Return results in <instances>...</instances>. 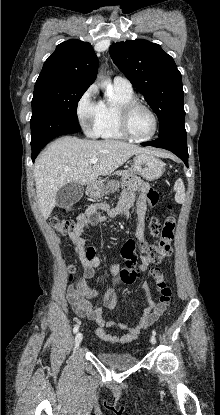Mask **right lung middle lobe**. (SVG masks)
<instances>
[{
    "instance_id": "obj_1",
    "label": "right lung middle lobe",
    "mask_w": 220,
    "mask_h": 415,
    "mask_svg": "<svg viewBox=\"0 0 220 415\" xmlns=\"http://www.w3.org/2000/svg\"><path fill=\"white\" fill-rule=\"evenodd\" d=\"M88 89L67 83L35 84L32 99L31 148H43L53 138L78 132L77 105Z\"/></svg>"
}]
</instances>
